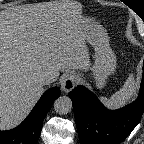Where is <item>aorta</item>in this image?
Segmentation results:
<instances>
[{
    "mask_svg": "<svg viewBox=\"0 0 144 144\" xmlns=\"http://www.w3.org/2000/svg\"><path fill=\"white\" fill-rule=\"evenodd\" d=\"M72 107V101L67 96H60L54 102V110L60 115L69 113Z\"/></svg>",
    "mask_w": 144,
    "mask_h": 144,
    "instance_id": "1",
    "label": "aorta"
}]
</instances>
